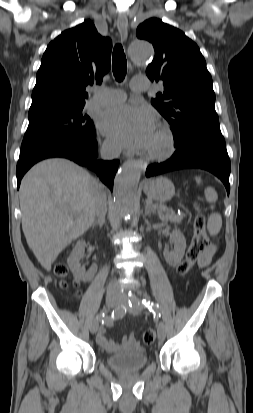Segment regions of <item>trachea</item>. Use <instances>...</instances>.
Here are the masks:
<instances>
[{
  "mask_svg": "<svg viewBox=\"0 0 253 413\" xmlns=\"http://www.w3.org/2000/svg\"><path fill=\"white\" fill-rule=\"evenodd\" d=\"M113 73L118 82L124 80L127 71V60L121 44H116L112 57Z\"/></svg>",
  "mask_w": 253,
  "mask_h": 413,
  "instance_id": "3493384b",
  "label": "trachea"
}]
</instances>
